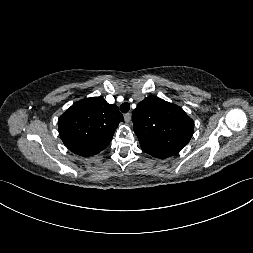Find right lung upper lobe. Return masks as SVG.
Here are the masks:
<instances>
[{
    "label": "right lung upper lobe",
    "mask_w": 253,
    "mask_h": 253,
    "mask_svg": "<svg viewBox=\"0 0 253 253\" xmlns=\"http://www.w3.org/2000/svg\"><path fill=\"white\" fill-rule=\"evenodd\" d=\"M123 115L115 104L102 97L74 103L59 118V133L64 145L83 157L95 155L111 142Z\"/></svg>",
    "instance_id": "1"
}]
</instances>
